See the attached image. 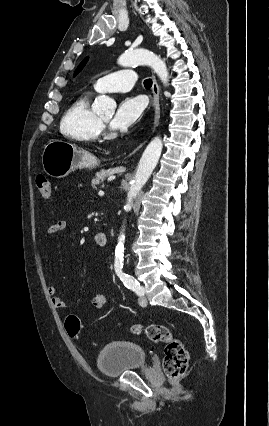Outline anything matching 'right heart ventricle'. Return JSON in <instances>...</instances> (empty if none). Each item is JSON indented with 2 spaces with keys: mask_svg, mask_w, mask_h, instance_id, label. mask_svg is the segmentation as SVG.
Masks as SVG:
<instances>
[{
  "mask_svg": "<svg viewBox=\"0 0 269 426\" xmlns=\"http://www.w3.org/2000/svg\"><path fill=\"white\" fill-rule=\"evenodd\" d=\"M101 129L100 119L91 109L89 94L78 97L61 121L62 133L79 141H94L99 137Z\"/></svg>",
  "mask_w": 269,
  "mask_h": 426,
  "instance_id": "obj_1",
  "label": "right heart ventricle"
}]
</instances>
